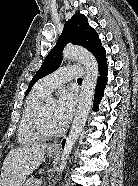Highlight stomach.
Returning a JSON list of instances; mask_svg holds the SVG:
<instances>
[{"label":"stomach","instance_id":"stomach-1","mask_svg":"<svg viewBox=\"0 0 138 186\" xmlns=\"http://www.w3.org/2000/svg\"><path fill=\"white\" fill-rule=\"evenodd\" d=\"M57 153H58L57 150H53V149H51V148L48 149V155H49L50 157L56 156ZM21 186H22V185H21ZM27 186H28V185H27Z\"/></svg>","mask_w":138,"mask_h":186}]
</instances>
